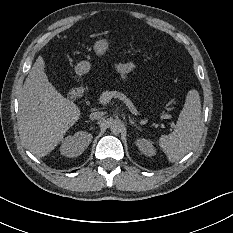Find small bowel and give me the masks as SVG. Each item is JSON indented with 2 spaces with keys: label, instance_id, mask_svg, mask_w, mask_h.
Segmentation results:
<instances>
[{
  "label": "small bowel",
  "instance_id": "c3829d8e",
  "mask_svg": "<svg viewBox=\"0 0 233 233\" xmlns=\"http://www.w3.org/2000/svg\"><path fill=\"white\" fill-rule=\"evenodd\" d=\"M115 69L123 80H127L128 75L135 70V65L132 62H120L115 65Z\"/></svg>",
  "mask_w": 233,
  "mask_h": 233
}]
</instances>
